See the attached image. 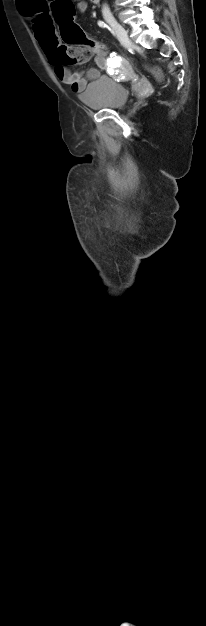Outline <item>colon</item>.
<instances>
[{"instance_id": "obj_1", "label": "colon", "mask_w": 206, "mask_h": 626, "mask_svg": "<svg viewBox=\"0 0 206 626\" xmlns=\"http://www.w3.org/2000/svg\"><path fill=\"white\" fill-rule=\"evenodd\" d=\"M55 19L60 26L64 45L58 50V61L63 64L86 62L95 53L103 52L105 46L86 37L82 29L74 22L72 0H50Z\"/></svg>"}]
</instances>
